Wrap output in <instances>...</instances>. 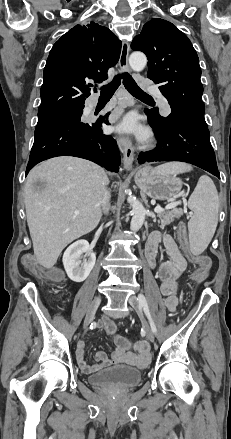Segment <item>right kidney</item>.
I'll list each match as a JSON object with an SVG mask.
<instances>
[{"label": "right kidney", "mask_w": 231, "mask_h": 439, "mask_svg": "<svg viewBox=\"0 0 231 439\" xmlns=\"http://www.w3.org/2000/svg\"><path fill=\"white\" fill-rule=\"evenodd\" d=\"M86 259L81 263V259ZM96 261V255L91 250L86 240H78L71 244L63 255V265L68 277L74 282L84 281L92 271Z\"/></svg>", "instance_id": "1"}]
</instances>
